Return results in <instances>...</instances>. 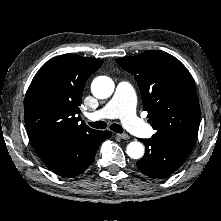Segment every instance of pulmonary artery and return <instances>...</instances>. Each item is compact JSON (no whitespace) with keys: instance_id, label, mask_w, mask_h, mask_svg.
I'll use <instances>...</instances> for the list:
<instances>
[{"instance_id":"1","label":"pulmonary artery","mask_w":221,"mask_h":221,"mask_svg":"<svg viewBox=\"0 0 221 221\" xmlns=\"http://www.w3.org/2000/svg\"><path fill=\"white\" fill-rule=\"evenodd\" d=\"M135 93L132 86L125 81L118 83L112 99L100 110L89 113L91 121L120 118L124 126L133 134L148 137L152 129L137 117L135 112Z\"/></svg>"}]
</instances>
